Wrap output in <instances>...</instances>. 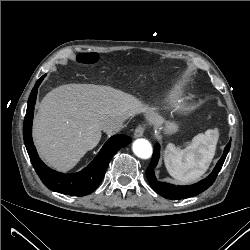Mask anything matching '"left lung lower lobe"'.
Segmentation results:
<instances>
[{
	"label": "left lung lower lobe",
	"mask_w": 250,
	"mask_h": 250,
	"mask_svg": "<svg viewBox=\"0 0 250 250\" xmlns=\"http://www.w3.org/2000/svg\"><path fill=\"white\" fill-rule=\"evenodd\" d=\"M230 145H231V141L226 145L221 159L218 161L214 170L207 178L193 185L175 186L172 184L159 182L156 180L154 168L156 167L158 163L159 151H160L159 144H156L153 157H152V161L146 170V176H147L148 182L154 191H156L158 194H160L161 196L167 199H184V198L196 196L202 193L203 191H205L207 188H209L213 184L229 152Z\"/></svg>",
	"instance_id": "left-lung-lower-lobe-1"
}]
</instances>
